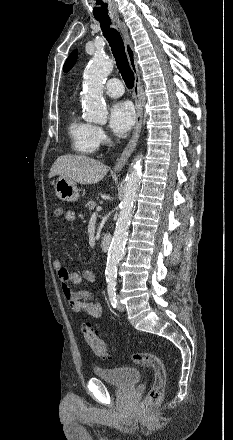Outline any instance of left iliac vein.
Instances as JSON below:
<instances>
[{
    "mask_svg": "<svg viewBox=\"0 0 233 440\" xmlns=\"http://www.w3.org/2000/svg\"><path fill=\"white\" fill-rule=\"evenodd\" d=\"M117 307L119 311H124L125 310V306L120 302V298L117 297Z\"/></svg>",
    "mask_w": 233,
    "mask_h": 440,
    "instance_id": "1",
    "label": "left iliac vein"
}]
</instances>
